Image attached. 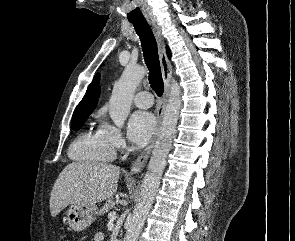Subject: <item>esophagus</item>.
<instances>
[{
	"label": "esophagus",
	"instance_id": "obj_1",
	"mask_svg": "<svg viewBox=\"0 0 295 241\" xmlns=\"http://www.w3.org/2000/svg\"><path fill=\"white\" fill-rule=\"evenodd\" d=\"M149 25L152 27L153 33L156 37L157 43H158V50H159V59H160V65H161V72H162V77L164 81V94L161 99V101L158 103L157 106V128H156V133L161 125L162 118L165 112L166 104L168 101L169 93H170V83H171V78H172V66L171 63L166 55V50H165V44L164 40L161 34V29L158 23L156 22L155 19L150 18L148 19ZM156 139V134L149 143V145L140 152L138 155L137 159L135 160L134 164L130 168V174H136L139 173L146 165L152 148L154 146Z\"/></svg>",
	"mask_w": 295,
	"mask_h": 241
}]
</instances>
